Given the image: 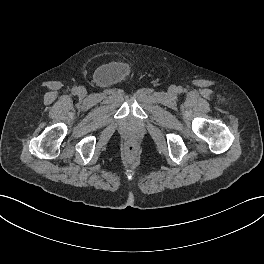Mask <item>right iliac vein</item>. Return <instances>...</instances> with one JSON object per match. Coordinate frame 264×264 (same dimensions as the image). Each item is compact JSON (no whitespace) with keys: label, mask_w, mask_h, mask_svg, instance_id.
I'll list each match as a JSON object with an SVG mask.
<instances>
[{"label":"right iliac vein","mask_w":264,"mask_h":264,"mask_svg":"<svg viewBox=\"0 0 264 264\" xmlns=\"http://www.w3.org/2000/svg\"><path fill=\"white\" fill-rule=\"evenodd\" d=\"M79 92H80L81 94H85V93H86V91H85L84 88H80V89H79Z\"/></svg>","instance_id":"right-iliac-vein-1"}]
</instances>
